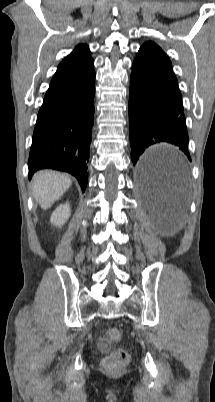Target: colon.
Returning a JSON list of instances; mask_svg holds the SVG:
<instances>
[{
	"mask_svg": "<svg viewBox=\"0 0 215 402\" xmlns=\"http://www.w3.org/2000/svg\"><path fill=\"white\" fill-rule=\"evenodd\" d=\"M121 333L117 328H109L105 333V342L116 343L120 340ZM129 360V355L124 349L113 350L103 361L107 370H118L124 367Z\"/></svg>",
	"mask_w": 215,
	"mask_h": 402,
	"instance_id": "1",
	"label": "colon"
}]
</instances>
